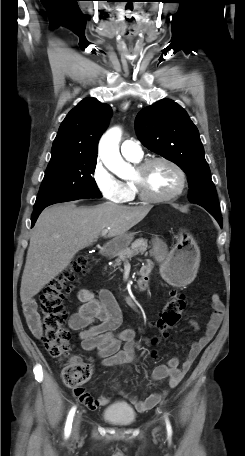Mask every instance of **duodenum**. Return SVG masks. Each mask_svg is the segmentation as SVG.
Here are the masks:
<instances>
[{"label":"duodenum","mask_w":245,"mask_h":456,"mask_svg":"<svg viewBox=\"0 0 245 456\" xmlns=\"http://www.w3.org/2000/svg\"><path fill=\"white\" fill-rule=\"evenodd\" d=\"M115 248H116V243L114 241L107 243L102 251V255L104 257L110 256L113 253V251L115 250ZM145 286H146V281L144 278H142L139 282V288L143 289V288H145Z\"/></svg>","instance_id":"410a0bca"}]
</instances>
